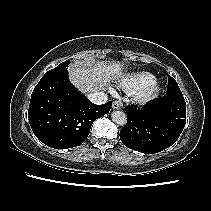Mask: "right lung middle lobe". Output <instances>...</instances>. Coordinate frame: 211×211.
<instances>
[{"label":"right lung middle lobe","instance_id":"1","mask_svg":"<svg viewBox=\"0 0 211 211\" xmlns=\"http://www.w3.org/2000/svg\"><path fill=\"white\" fill-rule=\"evenodd\" d=\"M69 63H70V61H65V62L61 63L60 65H58L56 68L49 70L42 77V79L67 71L66 67Z\"/></svg>","mask_w":211,"mask_h":211}]
</instances>
